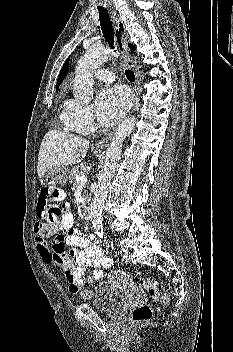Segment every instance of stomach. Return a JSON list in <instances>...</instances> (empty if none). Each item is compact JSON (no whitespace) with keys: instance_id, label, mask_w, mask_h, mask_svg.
Returning <instances> with one entry per match:
<instances>
[{"instance_id":"0dacf381","label":"stomach","mask_w":233,"mask_h":352,"mask_svg":"<svg viewBox=\"0 0 233 352\" xmlns=\"http://www.w3.org/2000/svg\"><path fill=\"white\" fill-rule=\"evenodd\" d=\"M47 175L59 185H65L68 180V168L66 166H54L48 170Z\"/></svg>"}]
</instances>
